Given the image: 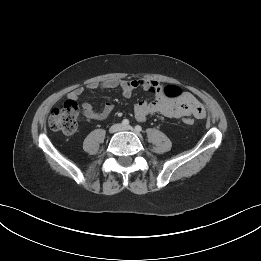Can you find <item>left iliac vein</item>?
<instances>
[{
    "instance_id": "4c4485c4",
    "label": "left iliac vein",
    "mask_w": 261,
    "mask_h": 261,
    "mask_svg": "<svg viewBox=\"0 0 261 261\" xmlns=\"http://www.w3.org/2000/svg\"><path fill=\"white\" fill-rule=\"evenodd\" d=\"M121 130H122V131H131V130H133V128L128 125V126H123V127L121 128Z\"/></svg>"
}]
</instances>
